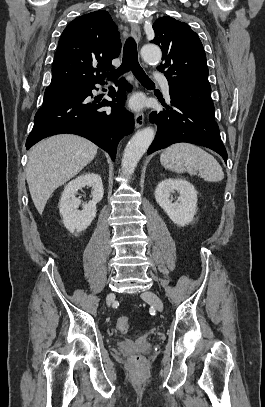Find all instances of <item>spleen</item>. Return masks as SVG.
Here are the masks:
<instances>
[{"mask_svg": "<svg viewBox=\"0 0 265 407\" xmlns=\"http://www.w3.org/2000/svg\"><path fill=\"white\" fill-rule=\"evenodd\" d=\"M160 162L163 167L175 173H198L205 181L218 182L224 172L217 160L202 148L190 143H177L166 148Z\"/></svg>", "mask_w": 265, "mask_h": 407, "instance_id": "1", "label": "spleen"}]
</instances>
